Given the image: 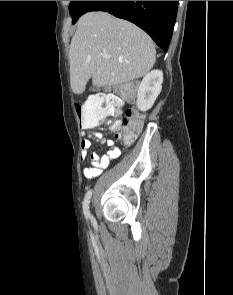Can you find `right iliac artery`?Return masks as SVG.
Segmentation results:
<instances>
[{"label": "right iliac artery", "instance_id": "right-iliac-artery-1", "mask_svg": "<svg viewBox=\"0 0 233 295\" xmlns=\"http://www.w3.org/2000/svg\"><path fill=\"white\" fill-rule=\"evenodd\" d=\"M92 196V190H89L84 198L83 201V212L86 218H90V211H89V203H90V198Z\"/></svg>", "mask_w": 233, "mask_h": 295}]
</instances>
